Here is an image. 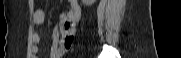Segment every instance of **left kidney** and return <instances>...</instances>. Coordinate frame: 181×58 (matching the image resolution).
Listing matches in <instances>:
<instances>
[{"label": "left kidney", "instance_id": "obj_1", "mask_svg": "<svg viewBox=\"0 0 181 58\" xmlns=\"http://www.w3.org/2000/svg\"><path fill=\"white\" fill-rule=\"evenodd\" d=\"M82 2L86 6H91L94 2H96V0H82Z\"/></svg>", "mask_w": 181, "mask_h": 58}]
</instances>
